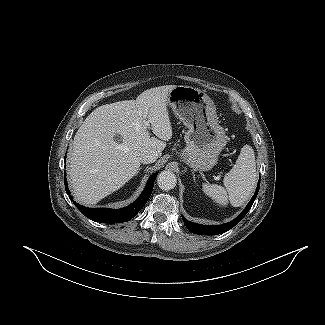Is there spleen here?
Listing matches in <instances>:
<instances>
[{"mask_svg":"<svg viewBox=\"0 0 325 325\" xmlns=\"http://www.w3.org/2000/svg\"><path fill=\"white\" fill-rule=\"evenodd\" d=\"M255 155L251 146L242 147L233 168L224 176V187L217 184H203V192L216 203L234 207L243 205L254 191L256 180Z\"/></svg>","mask_w":325,"mask_h":325,"instance_id":"spleen-1","label":"spleen"}]
</instances>
